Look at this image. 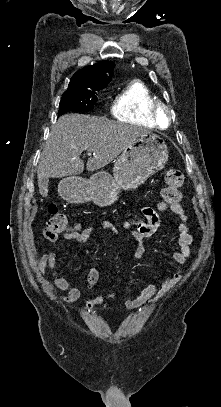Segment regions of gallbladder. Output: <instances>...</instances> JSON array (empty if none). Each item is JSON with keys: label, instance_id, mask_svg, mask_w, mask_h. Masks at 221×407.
<instances>
[{"label": "gallbladder", "instance_id": "gallbladder-1", "mask_svg": "<svg viewBox=\"0 0 221 407\" xmlns=\"http://www.w3.org/2000/svg\"><path fill=\"white\" fill-rule=\"evenodd\" d=\"M48 182H49V179H43V180H40L39 182H38V185H39V189H40V193L41 194H45L46 193V189H47V187H48Z\"/></svg>", "mask_w": 221, "mask_h": 407}]
</instances>
